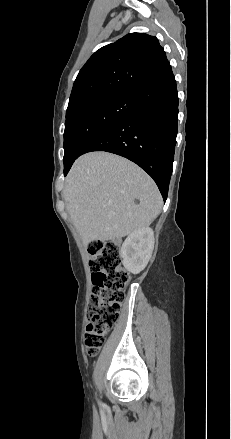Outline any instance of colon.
<instances>
[{
    "label": "colon",
    "mask_w": 231,
    "mask_h": 439,
    "mask_svg": "<svg viewBox=\"0 0 231 439\" xmlns=\"http://www.w3.org/2000/svg\"><path fill=\"white\" fill-rule=\"evenodd\" d=\"M88 253L94 291L89 300L84 343L88 355L94 357L118 320L130 277L122 267L115 243L96 241L89 246Z\"/></svg>",
    "instance_id": "5ec220e1"
}]
</instances>
